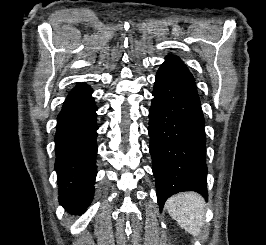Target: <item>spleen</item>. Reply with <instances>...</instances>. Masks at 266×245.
<instances>
[{
    "mask_svg": "<svg viewBox=\"0 0 266 245\" xmlns=\"http://www.w3.org/2000/svg\"><path fill=\"white\" fill-rule=\"evenodd\" d=\"M165 207L170 217L177 221L184 231L193 237H197L201 233L205 219V205L200 195L197 193H178L166 201Z\"/></svg>",
    "mask_w": 266,
    "mask_h": 245,
    "instance_id": "1",
    "label": "spleen"
}]
</instances>
